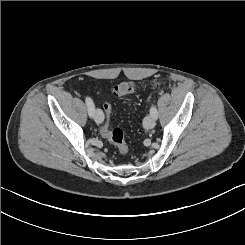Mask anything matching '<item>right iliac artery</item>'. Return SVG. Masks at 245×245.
Instances as JSON below:
<instances>
[{
	"instance_id": "right-iliac-artery-1",
	"label": "right iliac artery",
	"mask_w": 245,
	"mask_h": 245,
	"mask_svg": "<svg viewBox=\"0 0 245 245\" xmlns=\"http://www.w3.org/2000/svg\"><path fill=\"white\" fill-rule=\"evenodd\" d=\"M85 102L88 108V113L92 117L94 115V109H95L94 103L90 97H86Z\"/></svg>"
}]
</instances>
